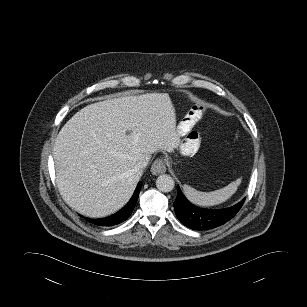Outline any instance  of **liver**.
I'll return each instance as SVG.
<instances>
[{"label": "liver", "instance_id": "liver-1", "mask_svg": "<svg viewBox=\"0 0 307 307\" xmlns=\"http://www.w3.org/2000/svg\"><path fill=\"white\" fill-rule=\"evenodd\" d=\"M167 93L125 96L90 104L60 130L53 149L63 200L80 214L101 218L123 207L142 172L141 159L180 145Z\"/></svg>", "mask_w": 307, "mask_h": 307}]
</instances>
